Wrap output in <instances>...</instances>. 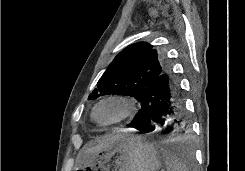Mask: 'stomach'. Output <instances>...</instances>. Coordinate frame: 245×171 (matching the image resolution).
Listing matches in <instances>:
<instances>
[{
	"instance_id": "0dacf381",
	"label": "stomach",
	"mask_w": 245,
	"mask_h": 171,
	"mask_svg": "<svg viewBox=\"0 0 245 171\" xmlns=\"http://www.w3.org/2000/svg\"><path fill=\"white\" fill-rule=\"evenodd\" d=\"M161 165L155 144L138 135L118 134L109 147L86 155L75 171H158Z\"/></svg>"
}]
</instances>
